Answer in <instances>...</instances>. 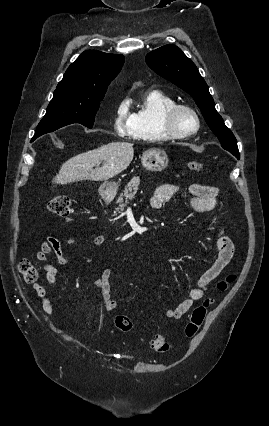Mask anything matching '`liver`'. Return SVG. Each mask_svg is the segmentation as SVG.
Returning <instances> with one entry per match:
<instances>
[{
    "instance_id": "6515ba94",
    "label": "liver",
    "mask_w": 269,
    "mask_h": 426,
    "mask_svg": "<svg viewBox=\"0 0 269 426\" xmlns=\"http://www.w3.org/2000/svg\"><path fill=\"white\" fill-rule=\"evenodd\" d=\"M133 157V144L108 143L68 159L52 182L63 185L83 180L107 181L124 171ZM101 163L102 166L99 167Z\"/></svg>"
}]
</instances>
